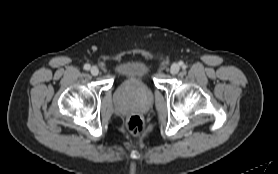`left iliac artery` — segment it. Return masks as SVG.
I'll list each match as a JSON object with an SVG mask.
<instances>
[{"mask_svg": "<svg viewBox=\"0 0 278 174\" xmlns=\"http://www.w3.org/2000/svg\"><path fill=\"white\" fill-rule=\"evenodd\" d=\"M179 65L183 67V66H184V63H183V62H179Z\"/></svg>", "mask_w": 278, "mask_h": 174, "instance_id": "44dca946", "label": "left iliac artery"}]
</instances>
